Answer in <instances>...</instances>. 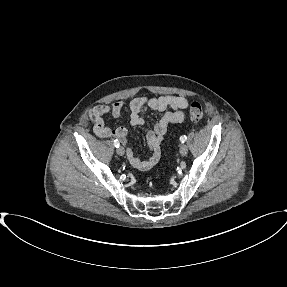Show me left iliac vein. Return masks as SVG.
I'll return each instance as SVG.
<instances>
[{
  "mask_svg": "<svg viewBox=\"0 0 287 287\" xmlns=\"http://www.w3.org/2000/svg\"><path fill=\"white\" fill-rule=\"evenodd\" d=\"M179 151H180V154H181L182 156H185V155L188 153V147L183 144V145H181Z\"/></svg>",
  "mask_w": 287,
  "mask_h": 287,
  "instance_id": "1",
  "label": "left iliac vein"
}]
</instances>
